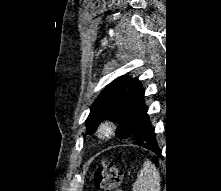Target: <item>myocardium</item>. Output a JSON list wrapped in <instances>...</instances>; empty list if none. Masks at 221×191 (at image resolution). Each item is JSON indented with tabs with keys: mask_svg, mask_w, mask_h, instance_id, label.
I'll use <instances>...</instances> for the list:
<instances>
[{
	"mask_svg": "<svg viewBox=\"0 0 221 191\" xmlns=\"http://www.w3.org/2000/svg\"><path fill=\"white\" fill-rule=\"evenodd\" d=\"M115 125L112 122H104L97 129V137L100 140H108L115 134Z\"/></svg>",
	"mask_w": 221,
	"mask_h": 191,
	"instance_id": "1",
	"label": "myocardium"
}]
</instances>
